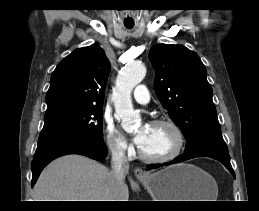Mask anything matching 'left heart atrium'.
<instances>
[{
  "label": "left heart atrium",
  "mask_w": 259,
  "mask_h": 211,
  "mask_svg": "<svg viewBox=\"0 0 259 211\" xmlns=\"http://www.w3.org/2000/svg\"><path fill=\"white\" fill-rule=\"evenodd\" d=\"M148 127L149 125H144L135 135L134 141L138 146L142 145V143L144 142Z\"/></svg>",
  "instance_id": "left-heart-atrium-1"
}]
</instances>
